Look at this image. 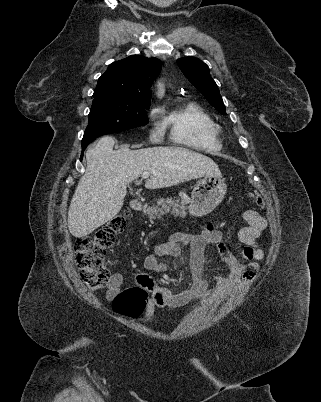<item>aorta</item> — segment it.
Returning a JSON list of instances; mask_svg holds the SVG:
<instances>
[{"instance_id":"1","label":"aorta","mask_w":321,"mask_h":402,"mask_svg":"<svg viewBox=\"0 0 321 402\" xmlns=\"http://www.w3.org/2000/svg\"><path fill=\"white\" fill-rule=\"evenodd\" d=\"M159 98H162L164 95V86L163 84L159 83L158 85V93H157Z\"/></svg>"}]
</instances>
